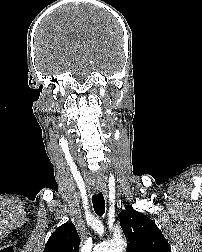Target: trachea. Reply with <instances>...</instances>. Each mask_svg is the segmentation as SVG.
I'll use <instances>...</instances> for the list:
<instances>
[{"label": "trachea", "mask_w": 202, "mask_h": 252, "mask_svg": "<svg viewBox=\"0 0 202 252\" xmlns=\"http://www.w3.org/2000/svg\"><path fill=\"white\" fill-rule=\"evenodd\" d=\"M92 203L96 214L103 216L105 213V200L101 192L92 196Z\"/></svg>", "instance_id": "3493384b"}]
</instances>
